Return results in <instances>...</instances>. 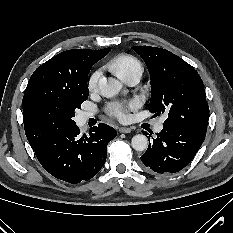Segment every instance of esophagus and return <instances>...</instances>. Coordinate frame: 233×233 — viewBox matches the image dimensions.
<instances>
[{
    "instance_id": "1",
    "label": "esophagus",
    "mask_w": 233,
    "mask_h": 233,
    "mask_svg": "<svg viewBox=\"0 0 233 233\" xmlns=\"http://www.w3.org/2000/svg\"><path fill=\"white\" fill-rule=\"evenodd\" d=\"M132 129L130 127H120L119 132L120 133H130Z\"/></svg>"
}]
</instances>
